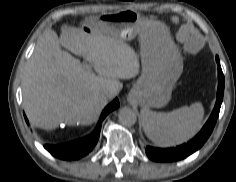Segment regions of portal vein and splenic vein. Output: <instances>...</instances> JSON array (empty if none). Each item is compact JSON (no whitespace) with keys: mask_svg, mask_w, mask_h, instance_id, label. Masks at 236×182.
Listing matches in <instances>:
<instances>
[{"mask_svg":"<svg viewBox=\"0 0 236 182\" xmlns=\"http://www.w3.org/2000/svg\"><path fill=\"white\" fill-rule=\"evenodd\" d=\"M86 68H87V69H90V66H89V65H86Z\"/></svg>","mask_w":236,"mask_h":182,"instance_id":"portal-vein-and-splenic-vein-1","label":"portal vein and splenic vein"}]
</instances>
